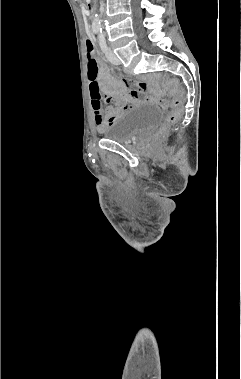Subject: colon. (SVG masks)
Listing matches in <instances>:
<instances>
[{"label":"colon","mask_w":241,"mask_h":379,"mask_svg":"<svg viewBox=\"0 0 241 379\" xmlns=\"http://www.w3.org/2000/svg\"><path fill=\"white\" fill-rule=\"evenodd\" d=\"M86 55H87V68H88V77H89V83H88V88L89 89H100L99 88V83L96 81L98 72H99V67L97 63V59L95 56L94 52V46L91 41H87L86 43ZM160 109H165L167 107H171L172 111L168 114L165 123L161 127L159 134L162 135L164 134L168 128L174 124L181 116L182 114V104H183V99L181 97L176 98L172 101H167V100H160Z\"/></svg>","instance_id":"5ec220e1"}]
</instances>
